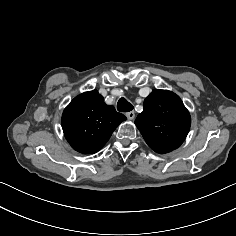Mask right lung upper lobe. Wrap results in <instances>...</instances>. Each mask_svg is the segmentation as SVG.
<instances>
[{"label": "right lung upper lobe", "mask_w": 236, "mask_h": 236, "mask_svg": "<svg viewBox=\"0 0 236 236\" xmlns=\"http://www.w3.org/2000/svg\"><path fill=\"white\" fill-rule=\"evenodd\" d=\"M126 117L107 105L97 90L76 96L62 115L64 135L74 150L82 154L99 151Z\"/></svg>", "instance_id": "obj_1"}]
</instances>
